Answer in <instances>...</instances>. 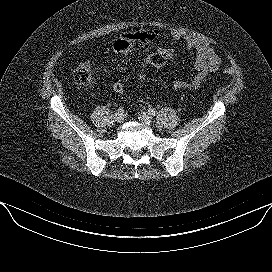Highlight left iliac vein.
Instances as JSON below:
<instances>
[{
    "label": "left iliac vein",
    "instance_id": "1",
    "mask_svg": "<svg viewBox=\"0 0 272 272\" xmlns=\"http://www.w3.org/2000/svg\"><path fill=\"white\" fill-rule=\"evenodd\" d=\"M138 118L142 123H144L146 125H150L152 123V120H153L152 116L147 112H141L139 114Z\"/></svg>",
    "mask_w": 272,
    "mask_h": 272
}]
</instances>
